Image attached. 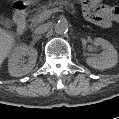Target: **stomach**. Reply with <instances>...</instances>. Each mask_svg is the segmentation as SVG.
<instances>
[{
  "label": "stomach",
  "mask_w": 119,
  "mask_h": 119,
  "mask_svg": "<svg viewBox=\"0 0 119 119\" xmlns=\"http://www.w3.org/2000/svg\"><path fill=\"white\" fill-rule=\"evenodd\" d=\"M35 0H23V3L26 5V6H31L33 3H34Z\"/></svg>",
  "instance_id": "stomach-1"
}]
</instances>
